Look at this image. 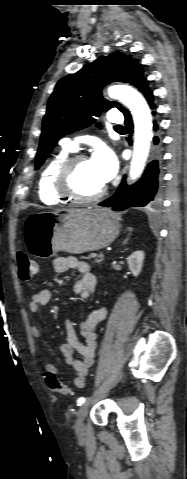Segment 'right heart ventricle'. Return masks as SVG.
Masks as SVG:
<instances>
[{
	"mask_svg": "<svg viewBox=\"0 0 187 479\" xmlns=\"http://www.w3.org/2000/svg\"><path fill=\"white\" fill-rule=\"evenodd\" d=\"M72 150L61 147L54 153L44 166L38 180V197L47 205H57L66 202L67 199L60 196L54 186L55 176L64 160L70 156Z\"/></svg>",
	"mask_w": 187,
	"mask_h": 479,
	"instance_id": "obj_1",
	"label": "right heart ventricle"
}]
</instances>
